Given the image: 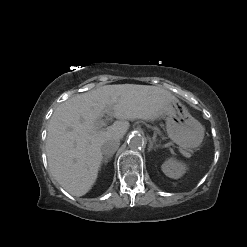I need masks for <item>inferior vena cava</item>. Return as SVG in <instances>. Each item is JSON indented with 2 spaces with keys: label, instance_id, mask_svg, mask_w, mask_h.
I'll return each instance as SVG.
<instances>
[{
  "label": "inferior vena cava",
  "instance_id": "obj_1",
  "mask_svg": "<svg viewBox=\"0 0 247 247\" xmlns=\"http://www.w3.org/2000/svg\"><path fill=\"white\" fill-rule=\"evenodd\" d=\"M120 145V140L119 139H108L106 140L102 146H101V151L104 155L110 156L113 155L116 150L119 148Z\"/></svg>",
  "mask_w": 247,
  "mask_h": 247
}]
</instances>
